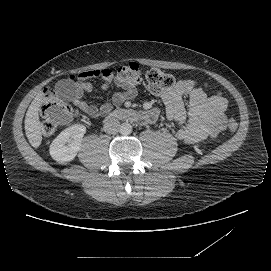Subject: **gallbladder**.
I'll return each mask as SVG.
<instances>
[{
	"label": "gallbladder",
	"instance_id": "obj_1",
	"mask_svg": "<svg viewBox=\"0 0 271 271\" xmlns=\"http://www.w3.org/2000/svg\"><path fill=\"white\" fill-rule=\"evenodd\" d=\"M57 99L65 104L73 102L78 94L76 86L70 80H59L55 84Z\"/></svg>",
	"mask_w": 271,
	"mask_h": 271
}]
</instances>
